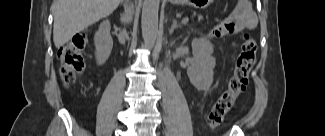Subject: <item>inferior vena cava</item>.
<instances>
[{"label": "inferior vena cava", "instance_id": "obj_1", "mask_svg": "<svg viewBox=\"0 0 325 136\" xmlns=\"http://www.w3.org/2000/svg\"><path fill=\"white\" fill-rule=\"evenodd\" d=\"M126 2H129L128 0ZM125 10H126V17H125V22H130L133 17L134 13V6L133 4H125Z\"/></svg>", "mask_w": 325, "mask_h": 136}]
</instances>
